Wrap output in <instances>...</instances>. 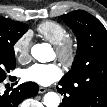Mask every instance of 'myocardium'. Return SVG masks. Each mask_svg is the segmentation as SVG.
I'll return each instance as SVG.
<instances>
[{
  "mask_svg": "<svg viewBox=\"0 0 107 107\" xmlns=\"http://www.w3.org/2000/svg\"><path fill=\"white\" fill-rule=\"evenodd\" d=\"M57 58L65 67H71L77 57V44L72 37L64 38L59 44L55 45Z\"/></svg>",
  "mask_w": 107,
  "mask_h": 107,
  "instance_id": "obj_1",
  "label": "myocardium"
}]
</instances>
